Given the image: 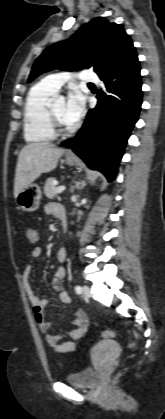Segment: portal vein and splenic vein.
<instances>
[{"label": "portal vein and splenic vein", "mask_w": 165, "mask_h": 419, "mask_svg": "<svg viewBox=\"0 0 165 419\" xmlns=\"http://www.w3.org/2000/svg\"><path fill=\"white\" fill-rule=\"evenodd\" d=\"M65 189H66V187H65V186H59V187H57V193H61V192H63Z\"/></svg>", "instance_id": "portal-vein-and-splenic-vein-1"}]
</instances>
